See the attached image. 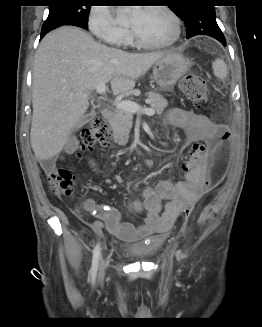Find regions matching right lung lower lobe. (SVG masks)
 I'll return each instance as SVG.
<instances>
[{
  "label": "right lung lower lobe",
  "mask_w": 262,
  "mask_h": 327,
  "mask_svg": "<svg viewBox=\"0 0 262 327\" xmlns=\"http://www.w3.org/2000/svg\"><path fill=\"white\" fill-rule=\"evenodd\" d=\"M63 25H74V26H78V27L87 29V25L79 23V22H62V23H58V24H55V25H52V26L42 28L41 38L40 39H42L51 30H53V29H55V28H57L59 26H63Z\"/></svg>",
  "instance_id": "obj_1"
}]
</instances>
